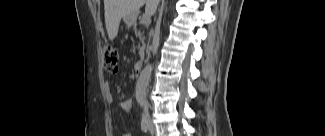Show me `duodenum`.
I'll return each mask as SVG.
<instances>
[{
	"label": "duodenum",
	"mask_w": 325,
	"mask_h": 136,
	"mask_svg": "<svg viewBox=\"0 0 325 136\" xmlns=\"http://www.w3.org/2000/svg\"><path fill=\"white\" fill-rule=\"evenodd\" d=\"M144 66V62L143 61H138L135 64V74L139 75L142 72Z\"/></svg>",
	"instance_id": "obj_1"
}]
</instances>
